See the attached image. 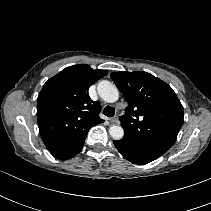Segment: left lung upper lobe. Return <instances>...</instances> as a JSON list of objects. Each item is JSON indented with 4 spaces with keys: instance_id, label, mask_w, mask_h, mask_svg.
Here are the masks:
<instances>
[{
    "instance_id": "obj_1",
    "label": "left lung upper lobe",
    "mask_w": 211,
    "mask_h": 211,
    "mask_svg": "<svg viewBox=\"0 0 211 211\" xmlns=\"http://www.w3.org/2000/svg\"><path fill=\"white\" fill-rule=\"evenodd\" d=\"M111 78L128 102L120 117L124 140L155 160L176 141L183 124V106L173 89L147 72H114Z\"/></svg>"
}]
</instances>
